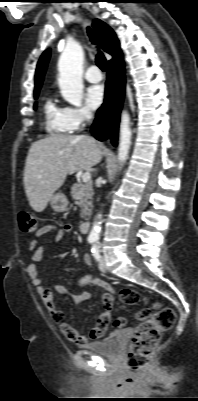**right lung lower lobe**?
<instances>
[{"instance_id": "obj_1", "label": "right lung lower lobe", "mask_w": 198, "mask_h": 401, "mask_svg": "<svg viewBox=\"0 0 198 401\" xmlns=\"http://www.w3.org/2000/svg\"><path fill=\"white\" fill-rule=\"evenodd\" d=\"M124 89V62L120 52L109 61L104 103L98 109L96 119L91 127V133L96 139L102 141L109 136L114 146L117 145Z\"/></svg>"}]
</instances>
